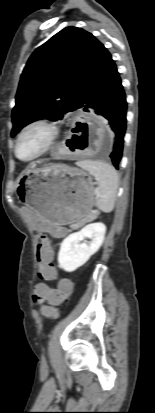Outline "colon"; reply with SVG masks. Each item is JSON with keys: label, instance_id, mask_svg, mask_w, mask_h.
I'll return each mask as SVG.
<instances>
[{"label": "colon", "instance_id": "obj_1", "mask_svg": "<svg viewBox=\"0 0 155 413\" xmlns=\"http://www.w3.org/2000/svg\"><path fill=\"white\" fill-rule=\"evenodd\" d=\"M36 257L40 278L43 280L53 278L56 275V270L52 261V248L47 241L39 245ZM55 283L58 289L52 290L45 299H40L37 295L33 296L35 302L47 303L46 306L41 308L42 313L47 317L58 316L57 307L70 296L74 287L73 281L70 278H57Z\"/></svg>", "mask_w": 155, "mask_h": 413}]
</instances>
